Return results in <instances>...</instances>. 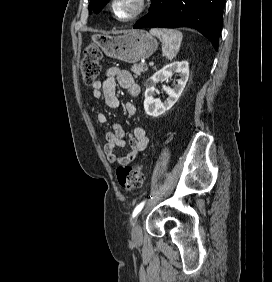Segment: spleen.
<instances>
[{
  "label": "spleen",
  "mask_w": 272,
  "mask_h": 282,
  "mask_svg": "<svg viewBox=\"0 0 272 282\" xmlns=\"http://www.w3.org/2000/svg\"><path fill=\"white\" fill-rule=\"evenodd\" d=\"M150 34L162 42V52L168 60H172L179 52L183 35L175 29L152 28Z\"/></svg>",
  "instance_id": "obj_1"
}]
</instances>
